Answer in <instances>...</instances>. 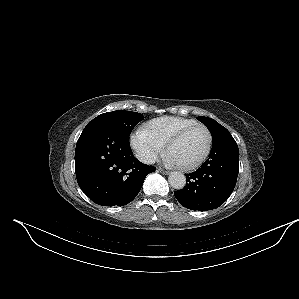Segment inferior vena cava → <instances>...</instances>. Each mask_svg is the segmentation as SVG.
<instances>
[{"mask_svg":"<svg viewBox=\"0 0 299 299\" xmlns=\"http://www.w3.org/2000/svg\"><path fill=\"white\" fill-rule=\"evenodd\" d=\"M139 159L145 164H153L155 159L151 155H138Z\"/></svg>","mask_w":299,"mask_h":299,"instance_id":"1","label":"inferior vena cava"}]
</instances>
